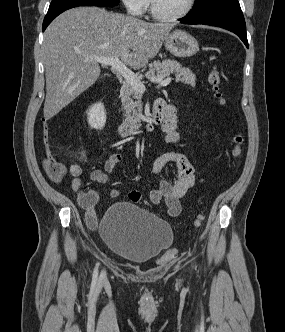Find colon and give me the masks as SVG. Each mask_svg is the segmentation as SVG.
<instances>
[{"mask_svg": "<svg viewBox=\"0 0 285 332\" xmlns=\"http://www.w3.org/2000/svg\"><path fill=\"white\" fill-rule=\"evenodd\" d=\"M208 83L211 87V89L214 91L215 96L223 102V96L220 91V75L219 72L216 69H212L211 72L208 75ZM232 150L231 155L234 159H237L240 157L242 153V144H243V137L240 133H237L234 135L232 139ZM44 168L48 176L55 182H60L66 175V167L53 157H47L44 160ZM203 217L199 215L195 221V225H200ZM177 252L174 248H170L164 252V254L161 257V262H167L170 259L174 258L176 256Z\"/></svg>", "mask_w": 285, "mask_h": 332, "instance_id": "colon-1", "label": "colon"}]
</instances>
